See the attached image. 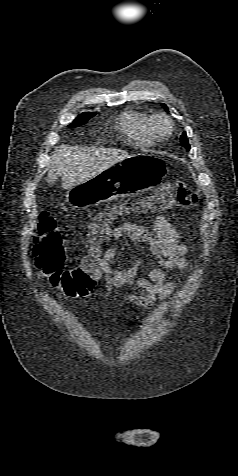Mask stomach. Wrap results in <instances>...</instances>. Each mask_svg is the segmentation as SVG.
Returning a JSON list of instances; mask_svg holds the SVG:
<instances>
[{"label": "stomach", "mask_w": 238, "mask_h": 476, "mask_svg": "<svg viewBox=\"0 0 238 476\" xmlns=\"http://www.w3.org/2000/svg\"><path fill=\"white\" fill-rule=\"evenodd\" d=\"M167 164L160 156H124L123 160L85 182L68 189L66 202L73 209H87L120 195H138L161 183Z\"/></svg>", "instance_id": "obj_1"}]
</instances>
